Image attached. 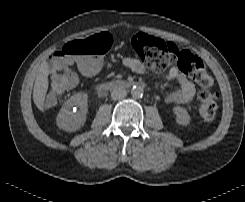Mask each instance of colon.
Instances as JSON below:
<instances>
[{
	"mask_svg": "<svg viewBox=\"0 0 245 202\" xmlns=\"http://www.w3.org/2000/svg\"><path fill=\"white\" fill-rule=\"evenodd\" d=\"M114 43L113 37L103 32L82 41L67 42L52 55L51 91L61 94L68 91L74 82L72 65L79 61L85 73H91L90 64H98V57L107 52ZM130 46L135 55L153 72L160 73L176 63L180 69L195 77L203 90L199 94V118L212 121L218 113V95L212 91V78L206 73L204 62L197 55L180 48L175 43L137 33L132 36Z\"/></svg>",
	"mask_w": 245,
	"mask_h": 202,
	"instance_id": "5ec220e1",
	"label": "colon"
}]
</instances>
